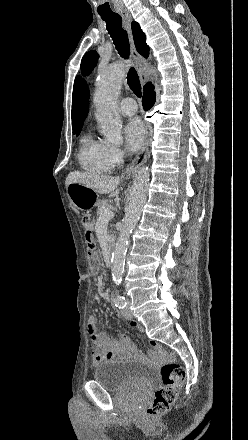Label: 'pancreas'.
Here are the masks:
<instances>
[{"instance_id": "1", "label": "pancreas", "mask_w": 248, "mask_h": 440, "mask_svg": "<svg viewBox=\"0 0 248 440\" xmlns=\"http://www.w3.org/2000/svg\"><path fill=\"white\" fill-rule=\"evenodd\" d=\"M103 209H109V204H108L107 200H102L98 205L97 213H98L99 217H100L101 211Z\"/></svg>"}]
</instances>
